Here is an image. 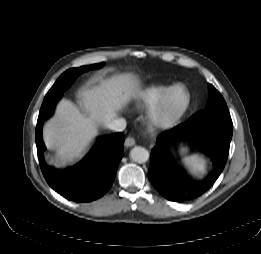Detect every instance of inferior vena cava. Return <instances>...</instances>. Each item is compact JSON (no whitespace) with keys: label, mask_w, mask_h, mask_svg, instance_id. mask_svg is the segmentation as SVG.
Returning <instances> with one entry per match:
<instances>
[{"label":"inferior vena cava","mask_w":261,"mask_h":254,"mask_svg":"<svg viewBox=\"0 0 261 254\" xmlns=\"http://www.w3.org/2000/svg\"><path fill=\"white\" fill-rule=\"evenodd\" d=\"M105 126L113 131L122 132L126 128V120L124 118H113L106 122Z\"/></svg>","instance_id":"inferior-vena-cava-1"}]
</instances>
